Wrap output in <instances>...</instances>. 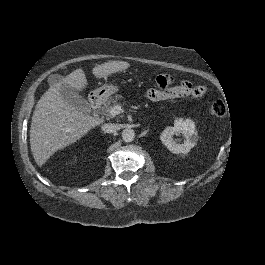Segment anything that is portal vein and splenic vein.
I'll use <instances>...</instances> for the list:
<instances>
[{"label": "portal vein and splenic vein", "instance_id": "18ae733b", "mask_svg": "<svg viewBox=\"0 0 265 265\" xmlns=\"http://www.w3.org/2000/svg\"><path fill=\"white\" fill-rule=\"evenodd\" d=\"M121 112H122V108H121L120 105H116V106H114V107L112 108V110H111V114H112V115H118V114H120Z\"/></svg>", "mask_w": 265, "mask_h": 265}]
</instances>
